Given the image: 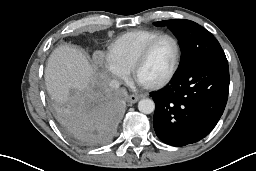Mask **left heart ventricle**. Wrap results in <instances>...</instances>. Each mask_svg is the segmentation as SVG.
Here are the masks:
<instances>
[{"instance_id": "b2bd125f", "label": "left heart ventricle", "mask_w": 256, "mask_h": 171, "mask_svg": "<svg viewBox=\"0 0 256 171\" xmlns=\"http://www.w3.org/2000/svg\"><path fill=\"white\" fill-rule=\"evenodd\" d=\"M174 59L175 46L172 40L168 38L160 40L140 68L138 80L146 84L162 80L170 72Z\"/></svg>"}]
</instances>
